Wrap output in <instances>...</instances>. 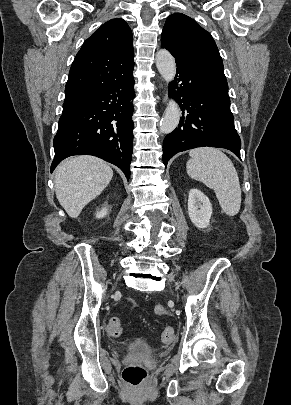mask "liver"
<instances>
[{"label": "liver", "mask_w": 291, "mask_h": 405, "mask_svg": "<svg viewBox=\"0 0 291 405\" xmlns=\"http://www.w3.org/2000/svg\"><path fill=\"white\" fill-rule=\"evenodd\" d=\"M112 176L110 166L97 157L68 158L55 170L56 197L67 214L77 218L82 209L107 187Z\"/></svg>", "instance_id": "obj_1"}]
</instances>
